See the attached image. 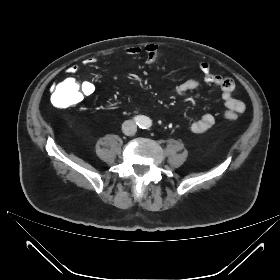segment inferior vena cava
Wrapping results in <instances>:
<instances>
[{
	"label": "inferior vena cava",
	"mask_w": 280,
	"mask_h": 280,
	"mask_svg": "<svg viewBox=\"0 0 280 280\" xmlns=\"http://www.w3.org/2000/svg\"><path fill=\"white\" fill-rule=\"evenodd\" d=\"M122 131L125 135H134L137 131V125L132 120H127L122 124Z\"/></svg>",
	"instance_id": "1"
}]
</instances>
